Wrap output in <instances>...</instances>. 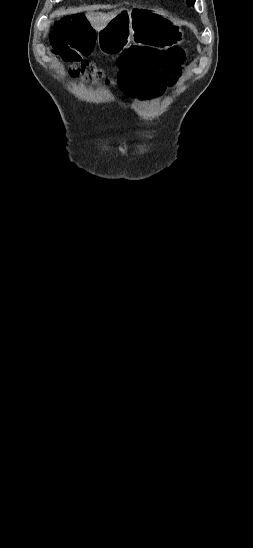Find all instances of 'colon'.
I'll return each instance as SVG.
<instances>
[{
	"label": "colon",
	"mask_w": 253,
	"mask_h": 548,
	"mask_svg": "<svg viewBox=\"0 0 253 548\" xmlns=\"http://www.w3.org/2000/svg\"><path fill=\"white\" fill-rule=\"evenodd\" d=\"M94 42L93 29L83 15L72 14L57 20L52 48L57 56L70 64V75L92 82H109L101 68L82 59V55L92 49ZM184 61L185 53L179 48L164 51L131 47L118 60V88L126 91V96H141L140 102L147 104L148 96H165L166 87L180 80Z\"/></svg>",
	"instance_id": "colon-1"
}]
</instances>
